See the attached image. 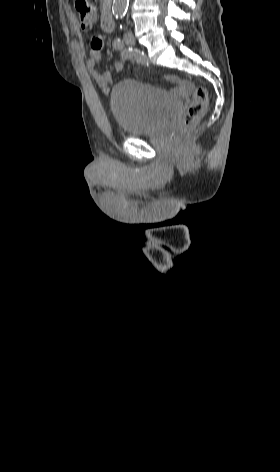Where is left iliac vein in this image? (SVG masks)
<instances>
[{
	"instance_id": "obj_1",
	"label": "left iliac vein",
	"mask_w": 280,
	"mask_h": 472,
	"mask_svg": "<svg viewBox=\"0 0 280 472\" xmlns=\"http://www.w3.org/2000/svg\"><path fill=\"white\" fill-rule=\"evenodd\" d=\"M124 41H125V43H126L128 46H133V45H135V38H134L133 34L130 33V32H127V33L124 35Z\"/></svg>"
}]
</instances>
